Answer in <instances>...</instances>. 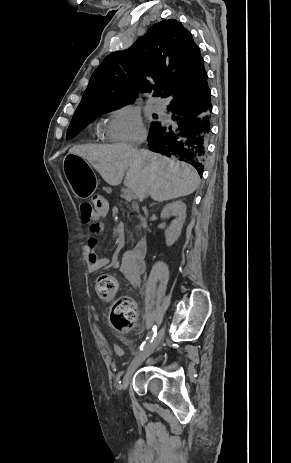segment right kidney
Here are the masks:
<instances>
[{"mask_svg": "<svg viewBox=\"0 0 291 463\" xmlns=\"http://www.w3.org/2000/svg\"><path fill=\"white\" fill-rule=\"evenodd\" d=\"M171 215L175 216L176 219L173 220L165 230L166 242L168 245L174 244L181 235L182 227L186 219V205L182 201H175L167 204L161 212V218L167 219Z\"/></svg>", "mask_w": 291, "mask_h": 463, "instance_id": "right-kidney-1", "label": "right kidney"}]
</instances>
